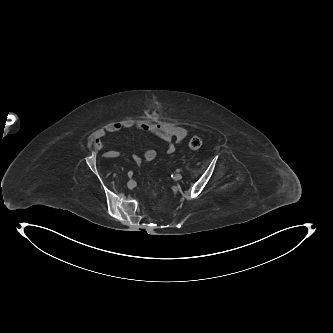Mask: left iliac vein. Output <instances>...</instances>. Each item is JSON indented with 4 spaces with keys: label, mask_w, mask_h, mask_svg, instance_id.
Wrapping results in <instances>:
<instances>
[{
    "label": "left iliac vein",
    "mask_w": 333,
    "mask_h": 333,
    "mask_svg": "<svg viewBox=\"0 0 333 333\" xmlns=\"http://www.w3.org/2000/svg\"><path fill=\"white\" fill-rule=\"evenodd\" d=\"M175 181H179L182 179V175L180 173L176 174L173 178Z\"/></svg>",
    "instance_id": "1"
}]
</instances>
